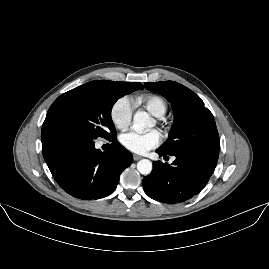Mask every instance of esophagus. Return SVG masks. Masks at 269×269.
Wrapping results in <instances>:
<instances>
[{
  "label": "esophagus",
  "mask_w": 269,
  "mask_h": 269,
  "mask_svg": "<svg viewBox=\"0 0 269 269\" xmlns=\"http://www.w3.org/2000/svg\"><path fill=\"white\" fill-rule=\"evenodd\" d=\"M133 158H134L135 161H138V160L142 159V156H139L137 154H134L133 155Z\"/></svg>",
  "instance_id": "obj_1"
}]
</instances>
